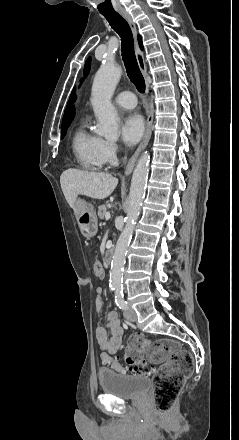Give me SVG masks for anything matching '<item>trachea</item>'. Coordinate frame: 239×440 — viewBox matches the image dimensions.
I'll use <instances>...</instances> for the list:
<instances>
[{
    "instance_id": "trachea-1",
    "label": "trachea",
    "mask_w": 239,
    "mask_h": 440,
    "mask_svg": "<svg viewBox=\"0 0 239 440\" xmlns=\"http://www.w3.org/2000/svg\"><path fill=\"white\" fill-rule=\"evenodd\" d=\"M113 30L121 37L122 59L129 79L140 93L145 92V80L136 60L134 39L128 22L117 12L102 14Z\"/></svg>"
}]
</instances>
